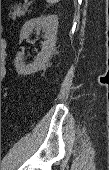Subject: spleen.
I'll list each match as a JSON object with an SVG mask.
<instances>
[{"label":"spleen","instance_id":"1","mask_svg":"<svg viewBox=\"0 0 109 170\" xmlns=\"http://www.w3.org/2000/svg\"><path fill=\"white\" fill-rule=\"evenodd\" d=\"M46 1L50 4H54V3L59 2L60 0H46Z\"/></svg>","mask_w":109,"mask_h":170}]
</instances>
